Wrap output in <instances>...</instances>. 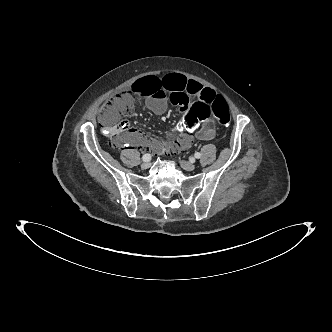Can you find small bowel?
I'll list each match as a JSON object with an SVG mask.
<instances>
[{"label":"small bowel","mask_w":332,"mask_h":332,"mask_svg":"<svg viewBox=\"0 0 332 332\" xmlns=\"http://www.w3.org/2000/svg\"><path fill=\"white\" fill-rule=\"evenodd\" d=\"M131 90L141 99H145L147 107L158 115L167 110L169 103L179 106L181 112L186 115L192 109L191 98L201 99L210 110L212 100L215 97L213 90L179 73H169L162 77L157 75L141 76L133 80ZM103 112L104 108L99 115V121L102 125H104ZM119 130L122 144L126 148L146 147L158 153L184 149L188 147L192 138L211 140L215 136L214 123L211 118H207L202 129L185 137L181 142L173 141L164 145L147 136L141 130L130 127L127 121L120 123Z\"/></svg>","instance_id":"c3829d8e"}]
</instances>
